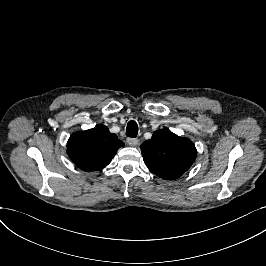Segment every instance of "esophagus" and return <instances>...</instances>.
Masks as SVG:
<instances>
[{"label":"esophagus","mask_w":266,"mask_h":266,"mask_svg":"<svg viewBox=\"0 0 266 266\" xmlns=\"http://www.w3.org/2000/svg\"><path fill=\"white\" fill-rule=\"evenodd\" d=\"M127 143L130 146H136L139 144V140L137 138H127Z\"/></svg>","instance_id":"esophagus-1"}]
</instances>
